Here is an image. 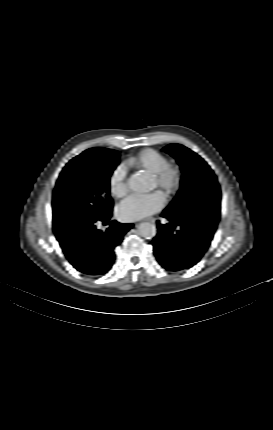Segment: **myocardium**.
<instances>
[{"mask_svg": "<svg viewBox=\"0 0 273 430\" xmlns=\"http://www.w3.org/2000/svg\"><path fill=\"white\" fill-rule=\"evenodd\" d=\"M152 177L156 186L166 196H172L178 191L181 185L182 172L177 166L168 164Z\"/></svg>", "mask_w": 273, "mask_h": 430, "instance_id": "myocardium-1", "label": "myocardium"}]
</instances>
